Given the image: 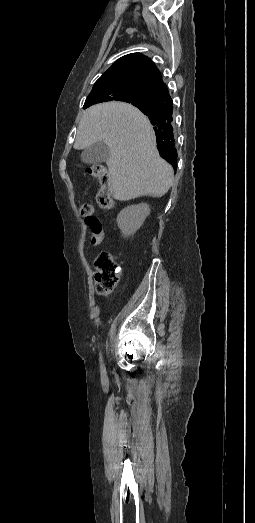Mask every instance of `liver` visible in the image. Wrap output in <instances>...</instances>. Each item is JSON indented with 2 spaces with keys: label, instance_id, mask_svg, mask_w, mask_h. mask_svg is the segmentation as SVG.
I'll return each mask as SVG.
<instances>
[{
  "label": "liver",
  "instance_id": "obj_1",
  "mask_svg": "<svg viewBox=\"0 0 255 523\" xmlns=\"http://www.w3.org/2000/svg\"><path fill=\"white\" fill-rule=\"evenodd\" d=\"M105 142L113 198L133 200L139 196L161 198L172 186L173 168L156 148L154 130L140 110L125 102H106L84 110L79 122L75 150Z\"/></svg>",
  "mask_w": 255,
  "mask_h": 523
}]
</instances>
